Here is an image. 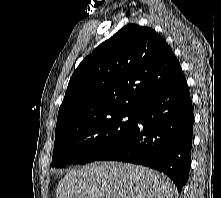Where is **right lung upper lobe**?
<instances>
[{
  "mask_svg": "<svg viewBox=\"0 0 221 198\" xmlns=\"http://www.w3.org/2000/svg\"><path fill=\"white\" fill-rule=\"evenodd\" d=\"M166 41L129 24L100 44L73 73L59 108L55 137L116 113L137 114L182 77Z\"/></svg>",
  "mask_w": 221,
  "mask_h": 198,
  "instance_id": "right-lung-upper-lobe-1",
  "label": "right lung upper lobe"
}]
</instances>
